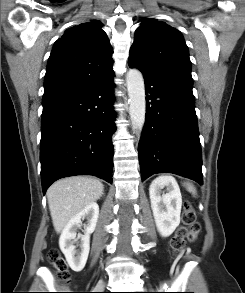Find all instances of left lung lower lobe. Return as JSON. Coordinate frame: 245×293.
Masks as SVG:
<instances>
[{
	"label": "left lung lower lobe",
	"instance_id": "left-lung-lower-lobe-1",
	"mask_svg": "<svg viewBox=\"0 0 245 293\" xmlns=\"http://www.w3.org/2000/svg\"><path fill=\"white\" fill-rule=\"evenodd\" d=\"M145 78L146 121L138 146L142 180L174 173L202 184V156L192 89L128 61Z\"/></svg>",
	"mask_w": 245,
	"mask_h": 293
}]
</instances>
